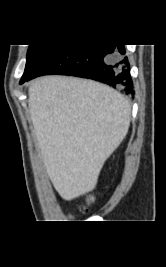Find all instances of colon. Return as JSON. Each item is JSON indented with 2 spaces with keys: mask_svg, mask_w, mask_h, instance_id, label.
I'll return each mask as SVG.
<instances>
[{
  "mask_svg": "<svg viewBox=\"0 0 166 267\" xmlns=\"http://www.w3.org/2000/svg\"><path fill=\"white\" fill-rule=\"evenodd\" d=\"M92 201H93V198H92L91 196H89V197L87 198V203H91ZM87 210H88L87 206H82V207H81V211H82V212H87Z\"/></svg>",
  "mask_w": 166,
  "mask_h": 267,
  "instance_id": "colon-1",
  "label": "colon"
}]
</instances>
